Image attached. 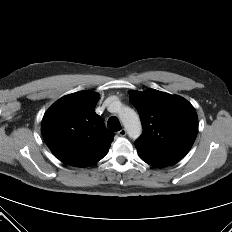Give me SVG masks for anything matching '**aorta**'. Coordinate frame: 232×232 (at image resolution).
Returning a JSON list of instances; mask_svg holds the SVG:
<instances>
[{
    "label": "aorta",
    "mask_w": 232,
    "mask_h": 232,
    "mask_svg": "<svg viewBox=\"0 0 232 232\" xmlns=\"http://www.w3.org/2000/svg\"><path fill=\"white\" fill-rule=\"evenodd\" d=\"M129 137L137 139L142 133V126L138 114L127 106H119L117 111Z\"/></svg>",
    "instance_id": "1"
}]
</instances>
